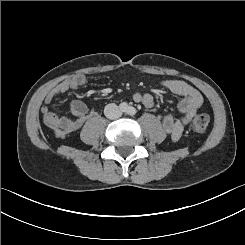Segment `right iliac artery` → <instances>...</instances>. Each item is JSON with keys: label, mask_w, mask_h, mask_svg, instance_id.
<instances>
[{"label": "right iliac artery", "mask_w": 245, "mask_h": 245, "mask_svg": "<svg viewBox=\"0 0 245 245\" xmlns=\"http://www.w3.org/2000/svg\"><path fill=\"white\" fill-rule=\"evenodd\" d=\"M119 107L122 112H126L128 109V105L125 102L121 103Z\"/></svg>", "instance_id": "82829eb1"}]
</instances>
